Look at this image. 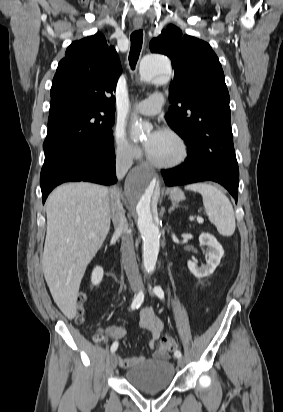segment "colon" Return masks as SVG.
Returning a JSON list of instances; mask_svg holds the SVG:
<instances>
[{"label":"colon","mask_w":283,"mask_h":412,"mask_svg":"<svg viewBox=\"0 0 283 412\" xmlns=\"http://www.w3.org/2000/svg\"><path fill=\"white\" fill-rule=\"evenodd\" d=\"M76 321L77 322H82L83 321V311L82 308L79 307L78 309V314L76 316ZM95 341H101L103 337L101 335H96L94 337ZM178 347L177 342L171 338V337H164L161 339L159 342V353L161 356H166L172 351L176 350Z\"/></svg>","instance_id":"1"}]
</instances>
